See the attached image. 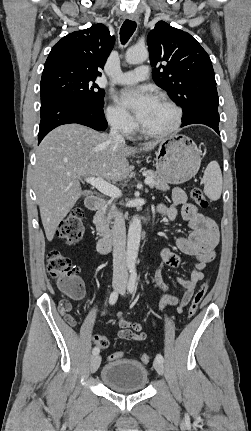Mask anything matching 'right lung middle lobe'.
<instances>
[{"label": "right lung middle lobe", "mask_w": 251, "mask_h": 431, "mask_svg": "<svg viewBox=\"0 0 251 431\" xmlns=\"http://www.w3.org/2000/svg\"><path fill=\"white\" fill-rule=\"evenodd\" d=\"M96 77L65 65L44 68L40 83L41 103L52 98L75 100L97 108L104 106V90Z\"/></svg>", "instance_id": "right-lung-middle-lobe-1"}]
</instances>
